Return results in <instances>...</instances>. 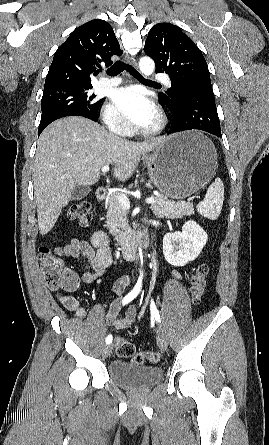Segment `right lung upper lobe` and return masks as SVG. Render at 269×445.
I'll use <instances>...</instances> for the list:
<instances>
[{
    "instance_id": "cb5924a9",
    "label": "right lung upper lobe",
    "mask_w": 269,
    "mask_h": 445,
    "mask_svg": "<svg viewBox=\"0 0 269 445\" xmlns=\"http://www.w3.org/2000/svg\"><path fill=\"white\" fill-rule=\"evenodd\" d=\"M122 54L115 33L104 20L95 19L75 29L57 49L45 79L44 90L91 85L100 63L111 65V56Z\"/></svg>"
}]
</instances>
